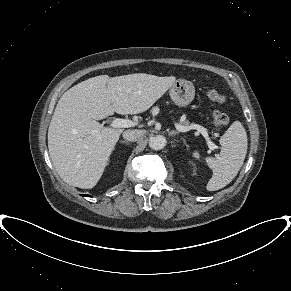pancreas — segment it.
Returning a JSON list of instances; mask_svg holds the SVG:
<instances>
[{
    "instance_id": "pancreas-1",
    "label": "pancreas",
    "mask_w": 291,
    "mask_h": 291,
    "mask_svg": "<svg viewBox=\"0 0 291 291\" xmlns=\"http://www.w3.org/2000/svg\"><path fill=\"white\" fill-rule=\"evenodd\" d=\"M183 125H189V121H187V120L184 121V122H183Z\"/></svg>"
}]
</instances>
